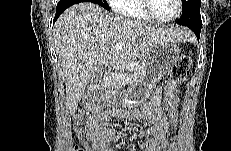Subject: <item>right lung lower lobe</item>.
Here are the masks:
<instances>
[{
	"label": "right lung lower lobe",
	"instance_id": "1",
	"mask_svg": "<svg viewBox=\"0 0 231 151\" xmlns=\"http://www.w3.org/2000/svg\"><path fill=\"white\" fill-rule=\"evenodd\" d=\"M80 2H84L82 0H60L57 4L56 7V14H55V18H54V22L58 19V17L60 16V14L66 10L68 7L80 3ZM91 2V1H89Z\"/></svg>",
	"mask_w": 231,
	"mask_h": 151
}]
</instances>
